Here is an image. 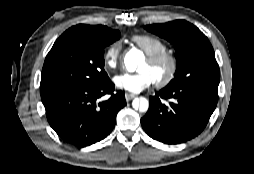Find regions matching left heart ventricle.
<instances>
[{
	"label": "left heart ventricle",
	"instance_id": "left-heart-ventricle-1",
	"mask_svg": "<svg viewBox=\"0 0 254 174\" xmlns=\"http://www.w3.org/2000/svg\"><path fill=\"white\" fill-rule=\"evenodd\" d=\"M140 71L148 72L154 81L161 80L165 77L168 71V64L166 62H162L157 65H151L145 60L139 67Z\"/></svg>",
	"mask_w": 254,
	"mask_h": 174
}]
</instances>
